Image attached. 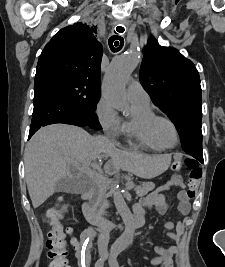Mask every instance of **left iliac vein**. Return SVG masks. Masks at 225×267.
<instances>
[{
  "label": "left iliac vein",
  "mask_w": 225,
  "mask_h": 267,
  "mask_svg": "<svg viewBox=\"0 0 225 267\" xmlns=\"http://www.w3.org/2000/svg\"><path fill=\"white\" fill-rule=\"evenodd\" d=\"M105 257H107V253H105Z\"/></svg>",
  "instance_id": "4c4485c4"
}]
</instances>
